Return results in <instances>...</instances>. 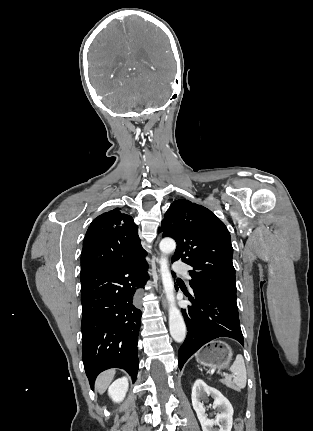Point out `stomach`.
Returning <instances> with one entry per match:
<instances>
[{
    "label": "stomach",
    "mask_w": 313,
    "mask_h": 431,
    "mask_svg": "<svg viewBox=\"0 0 313 431\" xmlns=\"http://www.w3.org/2000/svg\"><path fill=\"white\" fill-rule=\"evenodd\" d=\"M232 359L231 348L221 341H215L196 355V360L210 368H225Z\"/></svg>",
    "instance_id": "obj_1"
}]
</instances>
